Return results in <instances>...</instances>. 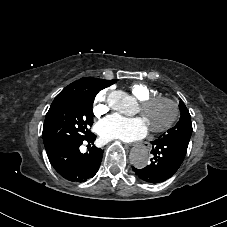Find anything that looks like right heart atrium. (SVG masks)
Returning <instances> with one entry per match:
<instances>
[{"label":"right heart atrium","mask_w":227,"mask_h":227,"mask_svg":"<svg viewBox=\"0 0 227 227\" xmlns=\"http://www.w3.org/2000/svg\"><path fill=\"white\" fill-rule=\"evenodd\" d=\"M106 95L107 91L103 90L96 97L97 106L95 108V113L97 115L103 114L108 109V106L106 104Z\"/></svg>","instance_id":"1"}]
</instances>
